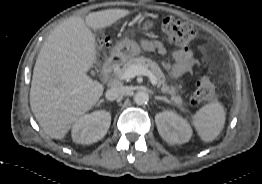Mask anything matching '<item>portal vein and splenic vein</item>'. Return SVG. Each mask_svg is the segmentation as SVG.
Wrapping results in <instances>:
<instances>
[{"label":"portal vein and splenic vein","instance_id":"18ae733b","mask_svg":"<svg viewBox=\"0 0 262 184\" xmlns=\"http://www.w3.org/2000/svg\"><path fill=\"white\" fill-rule=\"evenodd\" d=\"M138 75H145L148 76L150 78V81L152 83V85H156L157 84V78L156 76L147 68H145L144 66L141 65H133L131 67H129L121 76L120 79L123 80H130L132 78H134L135 76Z\"/></svg>","mask_w":262,"mask_h":184}]
</instances>
